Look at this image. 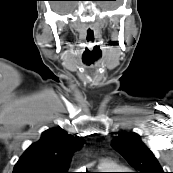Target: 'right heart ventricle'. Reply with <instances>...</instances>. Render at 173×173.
<instances>
[{
  "label": "right heart ventricle",
  "mask_w": 173,
  "mask_h": 173,
  "mask_svg": "<svg viewBox=\"0 0 173 173\" xmlns=\"http://www.w3.org/2000/svg\"><path fill=\"white\" fill-rule=\"evenodd\" d=\"M113 165L110 161H103L100 165L101 169H109L111 168Z\"/></svg>",
  "instance_id": "obj_1"
}]
</instances>
